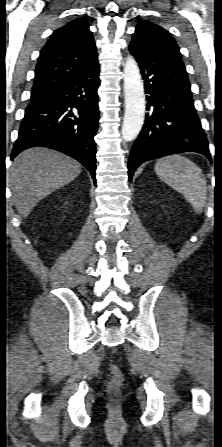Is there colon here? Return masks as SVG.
Listing matches in <instances>:
<instances>
[{"instance_id": "colon-1", "label": "colon", "mask_w": 222, "mask_h": 447, "mask_svg": "<svg viewBox=\"0 0 222 447\" xmlns=\"http://www.w3.org/2000/svg\"><path fill=\"white\" fill-rule=\"evenodd\" d=\"M124 376L122 371L117 366L111 368V378L107 384V395L112 399H117L121 394Z\"/></svg>"}]
</instances>
